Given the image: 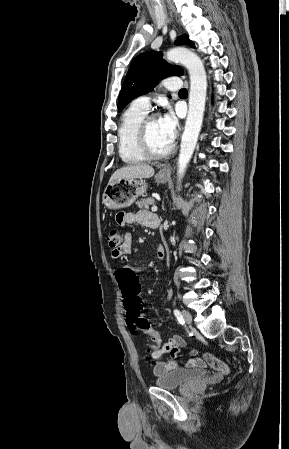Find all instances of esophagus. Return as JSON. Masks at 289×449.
<instances>
[{"instance_id": "esophagus-1", "label": "esophagus", "mask_w": 289, "mask_h": 449, "mask_svg": "<svg viewBox=\"0 0 289 449\" xmlns=\"http://www.w3.org/2000/svg\"><path fill=\"white\" fill-rule=\"evenodd\" d=\"M161 171H162V172H165V173H169V172L171 171V166H170V165H166V166H164V167L162 168Z\"/></svg>"}]
</instances>
